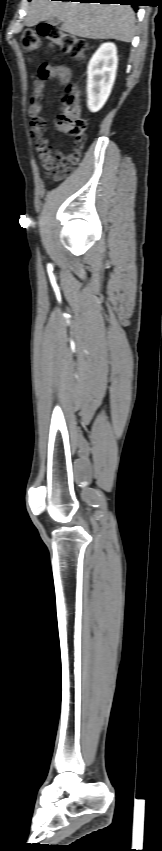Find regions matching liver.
Returning <instances> with one entry per match:
<instances>
[{"label": "liver", "mask_w": 162, "mask_h": 851, "mask_svg": "<svg viewBox=\"0 0 162 851\" xmlns=\"http://www.w3.org/2000/svg\"><path fill=\"white\" fill-rule=\"evenodd\" d=\"M57 17L61 29L90 39L130 42L134 36L135 15L129 5L32 0L25 20L28 27Z\"/></svg>", "instance_id": "1"}]
</instances>
